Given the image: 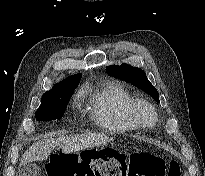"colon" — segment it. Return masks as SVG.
I'll return each instance as SVG.
<instances>
[{"label":"colon","instance_id":"colon-1","mask_svg":"<svg viewBox=\"0 0 205 176\" xmlns=\"http://www.w3.org/2000/svg\"><path fill=\"white\" fill-rule=\"evenodd\" d=\"M48 176H180V166L150 152H137L128 160L108 150L53 153L47 165Z\"/></svg>","mask_w":205,"mask_h":176}]
</instances>
